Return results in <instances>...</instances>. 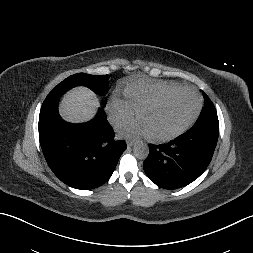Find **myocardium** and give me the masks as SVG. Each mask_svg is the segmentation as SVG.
Here are the masks:
<instances>
[{
    "label": "myocardium",
    "mask_w": 253,
    "mask_h": 253,
    "mask_svg": "<svg viewBox=\"0 0 253 253\" xmlns=\"http://www.w3.org/2000/svg\"><path fill=\"white\" fill-rule=\"evenodd\" d=\"M179 92H191L196 96L197 106L195 108V111L193 112L191 117L175 131H173L169 134L163 135V136L149 135L150 140L157 142V143H164V142L171 141V140L177 138L178 136H180L181 134H183L185 131H187L194 124L196 119L198 118L201 108H202V99H201L200 94L194 88H191L188 86H178V87L156 97L155 99L145 103L137 110V117L140 118V116L143 112L162 104L163 102H165L166 100H168L169 98H171L172 96L176 95Z\"/></svg>",
    "instance_id": "myocardium-1"
}]
</instances>
